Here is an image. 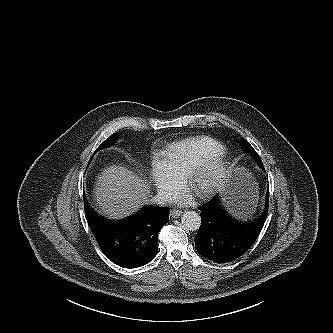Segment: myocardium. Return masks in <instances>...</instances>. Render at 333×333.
I'll return each instance as SVG.
<instances>
[{"label":"myocardium","mask_w":333,"mask_h":333,"mask_svg":"<svg viewBox=\"0 0 333 333\" xmlns=\"http://www.w3.org/2000/svg\"><path fill=\"white\" fill-rule=\"evenodd\" d=\"M205 174L211 176V181L205 188L195 190L196 181ZM229 176L230 163L224 149L198 162L189 170L184 179L187 188L191 189L199 198L206 199L218 193L225 186Z\"/></svg>","instance_id":"obj_1"}]
</instances>
